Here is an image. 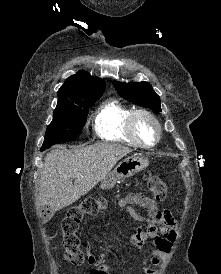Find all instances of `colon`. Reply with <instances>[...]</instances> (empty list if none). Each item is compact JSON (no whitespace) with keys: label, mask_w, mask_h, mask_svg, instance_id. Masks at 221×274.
<instances>
[{"label":"colon","mask_w":221,"mask_h":274,"mask_svg":"<svg viewBox=\"0 0 221 274\" xmlns=\"http://www.w3.org/2000/svg\"><path fill=\"white\" fill-rule=\"evenodd\" d=\"M147 188L155 201H163L167 195V186L162 178L155 174L145 175ZM107 201L103 197L86 198L80 205L71 208L61 223L63 234L64 258L74 266L85 261V253L81 249L78 229L82 219L94 215L105 208Z\"/></svg>","instance_id":"colon-1"}]
</instances>
